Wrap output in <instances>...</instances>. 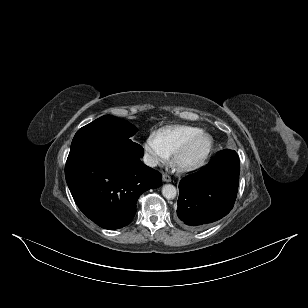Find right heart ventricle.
<instances>
[{
  "label": "right heart ventricle",
  "mask_w": 308,
  "mask_h": 308,
  "mask_svg": "<svg viewBox=\"0 0 308 308\" xmlns=\"http://www.w3.org/2000/svg\"><path fill=\"white\" fill-rule=\"evenodd\" d=\"M201 131L190 125H173L159 129L155 133L159 143L171 154L174 153L189 137Z\"/></svg>",
  "instance_id": "1"
}]
</instances>
